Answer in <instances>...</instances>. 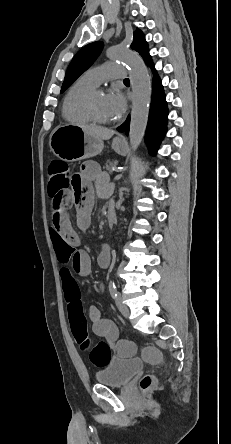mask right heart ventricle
<instances>
[{
	"label": "right heart ventricle",
	"instance_id": "right-heart-ventricle-1",
	"mask_svg": "<svg viewBox=\"0 0 231 444\" xmlns=\"http://www.w3.org/2000/svg\"><path fill=\"white\" fill-rule=\"evenodd\" d=\"M96 85L84 76L80 77L68 90L63 100L62 115L65 120L74 124H89L92 122L88 116L85 103L88 95Z\"/></svg>",
	"mask_w": 231,
	"mask_h": 444
}]
</instances>
